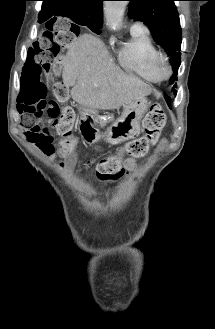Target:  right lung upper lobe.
Instances as JSON below:
<instances>
[{
    "mask_svg": "<svg viewBox=\"0 0 215 329\" xmlns=\"http://www.w3.org/2000/svg\"><path fill=\"white\" fill-rule=\"evenodd\" d=\"M39 22L54 21L56 16L77 14L87 22L102 23V1L104 0H42Z\"/></svg>",
    "mask_w": 215,
    "mask_h": 329,
    "instance_id": "obj_1",
    "label": "right lung upper lobe"
}]
</instances>
